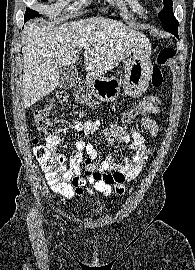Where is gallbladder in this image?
Masks as SVG:
<instances>
[{"mask_svg":"<svg viewBox=\"0 0 195 270\" xmlns=\"http://www.w3.org/2000/svg\"><path fill=\"white\" fill-rule=\"evenodd\" d=\"M60 80L58 87L68 89L78 78V69L75 65L61 66L59 68Z\"/></svg>","mask_w":195,"mask_h":270,"instance_id":"bac80fb5","label":"gallbladder"}]
</instances>
